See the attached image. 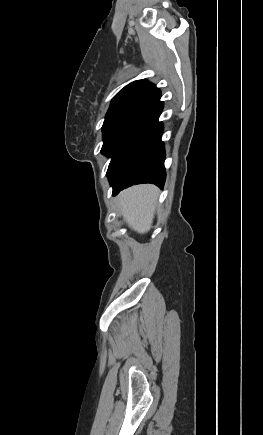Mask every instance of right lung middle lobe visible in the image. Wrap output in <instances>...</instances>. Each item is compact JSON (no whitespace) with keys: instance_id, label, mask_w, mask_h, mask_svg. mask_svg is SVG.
I'll return each instance as SVG.
<instances>
[{"instance_id":"right-lung-middle-lobe-1","label":"right lung middle lobe","mask_w":263,"mask_h":435,"mask_svg":"<svg viewBox=\"0 0 263 435\" xmlns=\"http://www.w3.org/2000/svg\"><path fill=\"white\" fill-rule=\"evenodd\" d=\"M143 108V105L110 106L102 127L104 143L101 152L103 154L113 159L130 125Z\"/></svg>"}]
</instances>
